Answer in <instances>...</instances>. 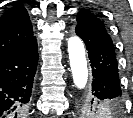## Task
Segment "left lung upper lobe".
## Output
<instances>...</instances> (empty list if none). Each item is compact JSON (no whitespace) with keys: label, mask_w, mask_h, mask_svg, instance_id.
<instances>
[{"label":"left lung upper lobe","mask_w":133,"mask_h":118,"mask_svg":"<svg viewBox=\"0 0 133 118\" xmlns=\"http://www.w3.org/2000/svg\"><path fill=\"white\" fill-rule=\"evenodd\" d=\"M77 26L84 27L95 34L105 35L110 37L107 29L99 18L89 10L82 9L77 15ZM122 101L104 100L101 102L95 101L90 91H84L78 96L77 111L81 116H92L98 114H106L116 112L121 107Z\"/></svg>","instance_id":"5c2ea615"}]
</instances>
